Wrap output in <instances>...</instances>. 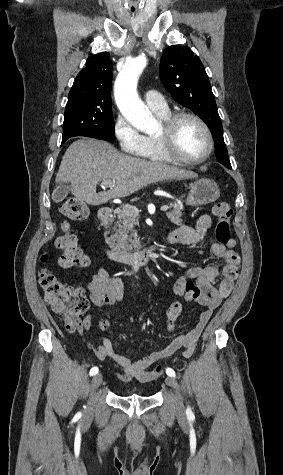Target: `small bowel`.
Segmentation results:
<instances>
[{
    "label": "small bowel",
    "instance_id": "small-bowel-1",
    "mask_svg": "<svg viewBox=\"0 0 283 475\" xmlns=\"http://www.w3.org/2000/svg\"><path fill=\"white\" fill-rule=\"evenodd\" d=\"M211 217L201 215L194 226H182L168 236L170 244H182L195 246L204 242L211 228ZM235 242L221 244L213 242L210 246L212 254L225 262L222 269L216 265H208L204 268L190 267L186 273L180 276L173 286L175 294H181L183 279H200L203 283L204 294L199 296L197 302L204 309L200 312L194 328L186 335H177L174 340L165 348L157 349L149 353L142 359L133 361L130 358L115 352L109 338L103 336L101 343L95 348L94 353L99 360H109L118 370L116 378L121 382L137 380L139 382H149L157 379L162 371L163 365L157 364L152 370L147 369L183 348V356L189 357L197 342L209 323L216 309L230 296L234 289L235 281L238 277L240 267V256L232 250ZM222 280L218 286L214 282L219 275ZM90 299L93 307L113 305L123 300L124 283L121 278L111 275L106 269H100L88 286ZM169 309L167 311V318ZM181 314V311H180ZM92 317L86 315L80 327V331L87 330L91 326Z\"/></svg>",
    "mask_w": 283,
    "mask_h": 475
}]
</instances>
